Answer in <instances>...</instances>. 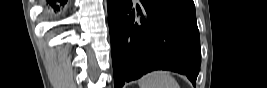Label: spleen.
<instances>
[{
    "label": "spleen",
    "instance_id": "1",
    "mask_svg": "<svg viewBox=\"0 0 267 88\" xmlns=\"http://www.w3.org/2000/svg\"><path fill=\"white\" fill-rule=\"evenodd\" d=\"M139 88H180L175 78L163 70L150 72L138 81Z\"/></svg>",
    "mask_w": 267,
    "mask_h": 88
}]
</instances>
